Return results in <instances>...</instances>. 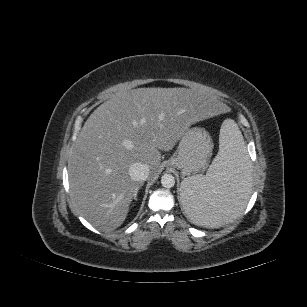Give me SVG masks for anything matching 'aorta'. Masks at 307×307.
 <instances>
[{"label": "aorta", "mask_w": 307, "mask_h": 307, "mask_svg": "<svg viewBox=\"0 0 307 307\" xmlns=\"http://www.w3.org/2000/svg\"><path fill=\"white\" fill-rule=\"evenodd\" d=\"M161 184L165 188H172L175 185V178L172 174H164L161 177Z\"/></svg>", "instance_id": "obj_1"}]
</instances>
